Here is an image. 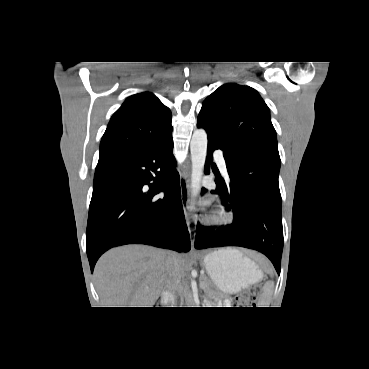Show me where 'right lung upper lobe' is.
<instances>
[{
    "label": "right lung upper lobe",
    "instance_id": "cb5924a9",
    "mask_svg": "<svg viewBox=\"0 0 369 369\" xmlns=\"http://www.w3.org/2000/svg\"><path fill=\"white\" fill-rule=\"evenodd\" d=\"M171 111L149 92L128 97L114 113L100 143L98 165L172 135Z\"/></svg>",
    "mask_w": 369,
    "mask_h": 369
}]
</instances>
